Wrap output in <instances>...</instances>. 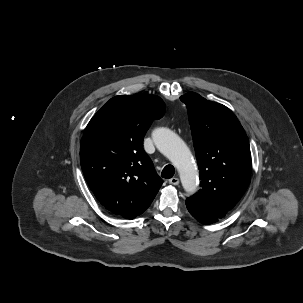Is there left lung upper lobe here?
<instances>
[{
    "mask_svg": "<svg viewBox=\"0 0 303 303\" xmlns=\"http://www.w3.org/2000/svg\"><path fill=\"white\" fill-rule=\"evenodd\" d=\"M187 106L201 189L187 202L221 219L239 202L251 178L247 135L233 112L197 93L180 97Z\"/></svg>",
    "mask_w": 303,
    "mask_h": 303,
    "instance_id": "left-lung-upper-lobe-1",
    "label": "left lung upper lobe"
}]
</instances>
